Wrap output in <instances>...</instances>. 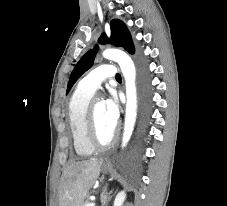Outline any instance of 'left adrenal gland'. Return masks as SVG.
I'll list each match as a JSON object with an SVG mask.
<instances>
[{"label": "left adrenal gland", "mask_w": 227, "mask_h": 206, "mask_svg": "<svg viewBox=\"0 0 227 206\" xmlns=\"http://www.w3.org/2000/svg\"><path fill=\"white\" fill-rule=\"evenodd\" d=\"M111 193L112 191H110V193L104 192L102 194V206H104L108 202Z\"/></svg>", "instance_id": "1"}]
</instances>
